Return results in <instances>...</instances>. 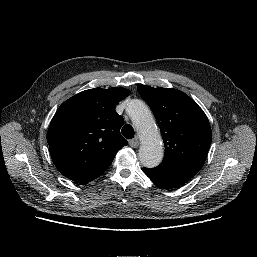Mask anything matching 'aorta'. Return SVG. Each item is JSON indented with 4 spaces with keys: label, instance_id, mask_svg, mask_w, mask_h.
I'll use <instances>...</instances> for the list:
<instances>
[{
    "label": "aorta",
    "instance_id": "aorta-1",
    "mask_svg": "<svg viewBox=\"0 0 257 257\" xmlns=\"http://www.w3.org/2000/svg\"><path fill=\"white\" fill-rule=\"evenodd\" d=\"M126 110L142 141L139 149L141 164L148 168L158 166L163 158V147L160 134L150 111L140 100L131 101Z\"/></svg>",
    "mask_w": 257,
    "mask_h": 257
}]
</instances>
